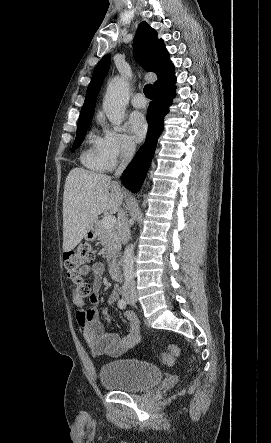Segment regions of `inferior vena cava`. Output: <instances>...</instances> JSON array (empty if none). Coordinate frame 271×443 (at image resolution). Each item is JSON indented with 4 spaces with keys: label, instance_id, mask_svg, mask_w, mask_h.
<instances>
[{
    "label": "inferior vena cava",
    "instance_id": "1",
    "mask_svg": "<svg viewBox=\"0 0 271 443\" xmlns=\"http://www.w3.org/2000/svg\"><path fill=\"white\" fill-rule=\"evenodd\" d=\"M135 144L134 142H130V140H127V142H123L121 144V158L122 162L120 166H118V170H116L114 176L116 178H119L121 176L122 172H124L126 166H128L130 160H132L134 154H135ZM119 235L121 237L122 243H127L130 239V227L129 223H127L126 216H121L120 218V225H119ZM136 290L130 286V284H125L123 286V293L122 296H135Z\"/></svg>",
    "mask_w": 271,
    "mask_h": 443
}]
</instances>
